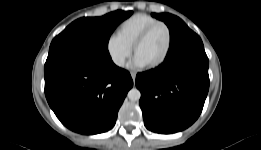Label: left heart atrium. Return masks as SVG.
<instances>
[{
    "instance_id": "obj_1",
    "label": "left heart atrium",
    "mask_w": 261,
    "mask_h": 150,
    "mask_svg": "<svg viewBox=\"0 0 261 150\" xmlns=\"http://www.w3.org/2000/svg\"><path fill=\"white\" fill-rule=\"evenodd\" d=\"M130 66L133 68H144L146 67V64L140 58L135 56L132 62L130 63Z\"/></svg>"
}]
</instances>
